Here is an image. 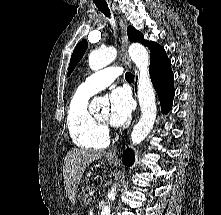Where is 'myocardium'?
<instances>
[{
	"instance_id": "f54148a6",
	"label": "myocardium",
	"mask_w": 221,
	"mask_h": 215,
	"mask_svg": "<svg viewBox=\"0 0 221 215\" xmlns=\"http://www.w3.org/2000/svg\"><path fill=\"white\" fill-rule=\"evenodd\" d=\"M96 119H97V118H96ZM97 121H98L101 125H105V120L97 119Z\"/></svg>"
}]
</instances>
